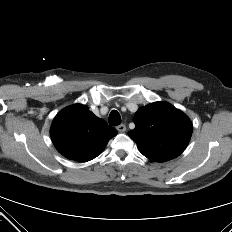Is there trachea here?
Listing matches in <instances>:
<instances>
[{"label": "trachea", "mask_w": 232, "mask_h": 232, "mask_svg": "<svg viewBox=\"0 0 232 232\" xmlns=\"http://www.w3.org/2000/svg\"><path fill=\"white\" fill-rule=\"evenodd\" d=\"M109 124L112 126H117L121 124V117L118 111L112 110L109 115Z\"/></svg>", "instance_id": "1"}]
</instances>
